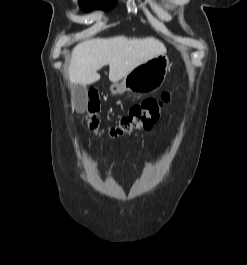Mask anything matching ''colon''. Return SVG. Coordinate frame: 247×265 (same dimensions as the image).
Masks as SVG:
<instances>
[{
    "label": "colon",
    "mask_w": 247,
    "mask_h": 265,
    "mask_svg": "<svg viewBox=\"0 0 247 265\" xmlns=\"http://www.w3.org/2000/svg\"><path fill=\"white\" fill-rule=\"evenodd\" d=\"M169 100L170 94L162 92L159 96L147 98L141 103L133 105L127 114L108 130V136L116 138L151 128L160 118L161 112ZM99 111V95L96 90H92L89 92L86 118L90 130L97 134L101 133L98 120Z\"/></svg>",
    "instance_id": "5ec220e1"
}]
</instances>
